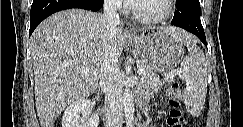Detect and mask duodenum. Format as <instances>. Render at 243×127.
Wrapping results in <instances>:
<instances>
[{"instance_id": "1", "label": "duodenum", "mask_w": 243, "mask_h": 127, "mask_svg": "<svg viewBox=\"0 0 243 127\" xmlns=\"http://www.w3.org/2000/svg\"><path fill=\"white\" fill-rule=\"evenodd\" d=\"M146 100H147V96L146 95H142L141 98H140L141 105H144Z\"/></svg>"}]
</instances>
